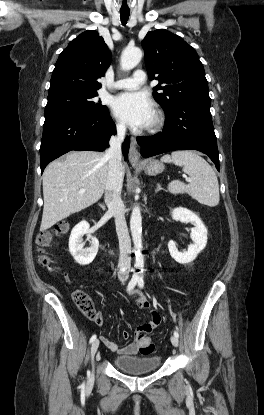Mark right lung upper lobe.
<instances>
[{
    "label": "right lung upper lobe",
    "mask_w": 264,
    "mask_h": 415,
    "mask_svg": "<svg viewBox=\"0 0 264 415\" xmlns=\"http://www.w3.org/2000/svg\"><path fill=\"white\" fill-rule=\"evenodd\" d=\"M111 62L104 39L94 30L83 32L61 52L51 77L48 97L64 92H93Z\"/></svg>",
    "instance_id": "obj_1"
}]
</instances>
